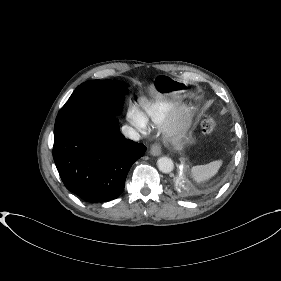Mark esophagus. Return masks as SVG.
Segmentation results:
<instances>
[{
	"instance_id": "34e87169",
	"label": "esophagus",
	"mask_w": 281,
	"mask_h": 281,
	"mask_svg": "<svg viewBox=\"0 0 281 281\" xmlns=\"http://www.w3.org/2000/svg\"><path fill=\"white\" fill-rule=\"evenodd\" d=\"M162 148L160 144H154L151 147L150 153L153 156H159L161 154Z\"/></svg>"
}]
</instances>
